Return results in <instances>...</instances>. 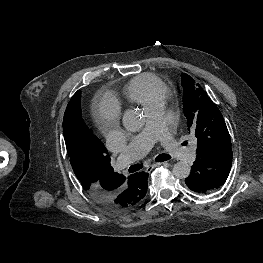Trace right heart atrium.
<instances>
[{"mask_svg": "<svg viewBox=\"0 0 263 263\" xmlns=\"http://www.w3.org/2000/svg\"><path fill=\"white\" fill-rule=\"evenodd\" d=\"M95 119L106 137L113 136L118 129L120 109L111 96L98 99L94 109Z\"/></svg>", "mask_w": 263, "mask_h": 263, "instance_id": "right-heart-atrium-1", "label": "right heart atrium"}]
</instances>
